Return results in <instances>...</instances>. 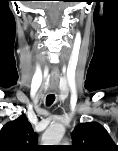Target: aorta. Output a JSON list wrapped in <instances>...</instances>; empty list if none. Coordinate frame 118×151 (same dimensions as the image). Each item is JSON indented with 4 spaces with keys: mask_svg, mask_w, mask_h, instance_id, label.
<instances>
[{
    "mask_svg": "<svg viewBox=\"0 0 118 151\" xmlns=\"http://www.w3.org/2000/svg\"><path fill=\"white\" fill-rule=\"evenodd\" d=\"M65 134L62 124H51L42 135L43 145H58Z\"/></svg>",
    "mask_w": 118,
    "mask_h": 151,
    "instance_id": "762f6f07",
    "label": "aorta"
}]
</instances>
